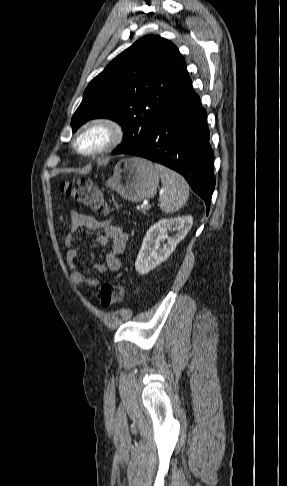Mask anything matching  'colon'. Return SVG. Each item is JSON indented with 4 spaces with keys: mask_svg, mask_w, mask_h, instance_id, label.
<instances>
[{
    "mask_svg": "<svg viewBox=\"0 0 287 486\" xmlns=\"http://www.w3.org/2000/svg\"><path fill=\"white\" fill-rule=\"evenodd\" d=\"M60 191L74 201L100 213H106L108 208L101 189L88 178H76L60 184ZM101 305L105 308L122 301L124 288L119 284L105 283L97 293Z\"/></svg>",
    "mask_w": 287,
    "mask_h": 486,
    "instance_id": "5ec220e1",
    "label": "colon"
}]
</instances>
